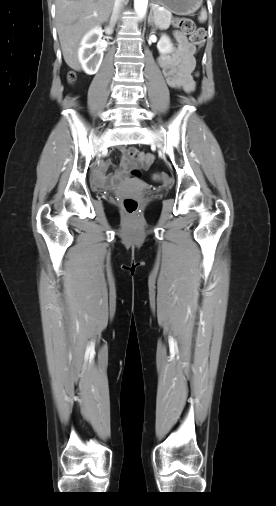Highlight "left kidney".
Wrapping results in <instances>:
<instances>
[{"label": "left kidney", "instance_id": "1", "mask_svg": "<svg viewBox=\"0 0 276 506\" xmlns=\"http://www.w3.org/2000/svg\"><path fill=\"white\" fill-rule=\"evenodd\" d=\"M157 48L160 54L165 57L168 53H170L173 49V45L170 39L166 36H163L157 44Z\"/></svg>", "mask_w": 276, "mask_h": 506}]
</instances>
